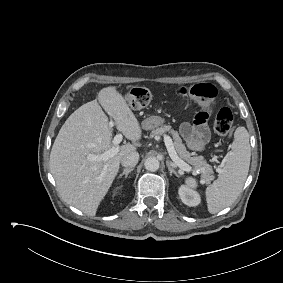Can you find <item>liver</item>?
<instances>
[{"instance_id":"1","label":"liver","mask_w":283,"mask_h":283,"mask_svg":"<svg viewBox=\"0 0 283 283\" xmlns=\"http://www.w3.org/2000/svg\"><path fill=\"white\" fill-rule=\"evenodd\" d=\"M101 105V106H100ZM107 114L118 131L132 141H140L142 129L125 98L115 86L99 91L97 100L75 110L61 127L50 153V169L62 199L89 216H94L118 171L121 159L136 151L125 143L107 160L90 161L113 148L112 129Z\"/></svg>"}]
</instances>
